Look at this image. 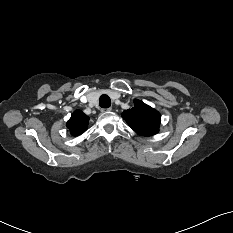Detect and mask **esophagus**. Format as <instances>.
Here are the masks:
<instances>
[{
    "mask_svg": "<svg viewBox=\"0 0 233 233\" xmlns=\"http://www.w3.org/2000/svg\"><path fill=\"white\" fill-rule=\"evenodd\" d=\"M110 111H112V108H102L101 109V112H103V113H107V112H110Z\"/></svg>",
    "mask_w": 233,
    "mask_h": 233,
    "instance_id": "obj_1",
    "label": "esophagus"
}]
</instances>
